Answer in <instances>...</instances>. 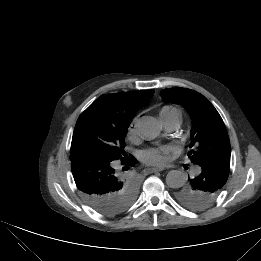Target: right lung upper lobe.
Here are the masks:
<instances>
[{"label":"right lung upper lobe","instance_id":"1","mask_svg":"<svg viewBox=\"0 0 261 261\" xmlns=\"http://www.w3.org/2000/svg\"><path fill=\"white\" fill-rule=\"evenodd\" d=\"M153 94V90L104 94L90 107L98 108L110 117L130 124L136 112L150 101Z\"/></svg>","mask_w":261,"mask_h":261}]
</instances>
